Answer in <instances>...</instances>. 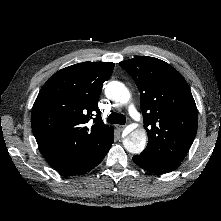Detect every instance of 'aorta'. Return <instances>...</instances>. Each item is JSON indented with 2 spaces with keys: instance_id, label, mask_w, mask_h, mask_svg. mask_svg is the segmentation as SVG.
<instances>
[{
  "instance_id": "aorta-1",
  "label": "aorta",
  "mask_w": 221,
  "mask_h": 221,
  "mask_svg": "<svg viewBox=\"0 0 221 221\" xmlns=\"http://www.w3.org/2000/svg\"><path fill=\"white\" fill-rule=\"evenodd\" d=\"M107 98L125 104L130 99V93L126 86L119 81H111L105 87ZM147 134L144 129L132 131L124 140L125 149L133 154L141 153L146 147Z\"/></svg>"
}]
</instances>
